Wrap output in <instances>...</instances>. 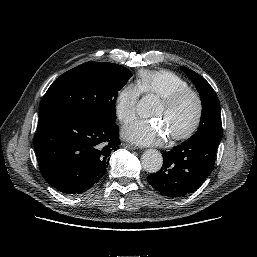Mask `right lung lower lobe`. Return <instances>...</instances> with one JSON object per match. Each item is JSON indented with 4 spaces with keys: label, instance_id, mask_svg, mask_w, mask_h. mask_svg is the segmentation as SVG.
<instances>
[{
    "label": "right lung lower lobe",
    "instance_id": "right-lung-lower-lobe-1",
    "mask_svg": "<svg viewBox=\"0 0 257 257\" xmlns=\"http://www.w3.org/2000/svg\"><path fill=\"white\" fill-rule=\"evenodd\" d=\"M119 144L115 122L71 111L40 117L34 137L41 174L67 194L83 193L96 185Z\"/></svg>",
    "mask_w": 257,
    "mask_h": 257
}]
</instances>
